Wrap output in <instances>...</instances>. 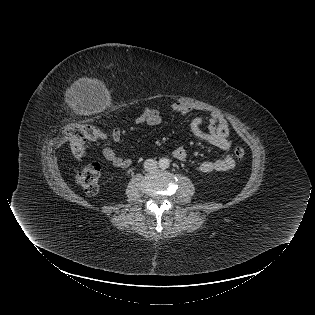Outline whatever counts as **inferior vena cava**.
Segmentation results:
<instances>
[{
  "label": "inferior vena cava",
  "instance_id": "inferior-vena-cava-1",
  "mask_svg": "<svg viewBox=\"0 0 315 315\" xmlns=\"http://www.w3.org/2000/svg\"><path fill=\"white\" fill-rule=\"evenodd\" d=\"M158 166V163L155 159H147L144 162V169L146 171H154Z\"/></svg>",
  "mask_w": 315,
  "mask_h": 315
}]
</instances>
